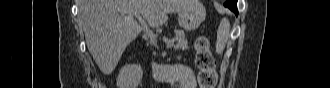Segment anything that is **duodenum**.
<instances>
[{
	"label": "duodenum",
	"mask_w": 330,
	"mask_h": 88,
	"mask_svg": "<svg viewBox=\"0 0 330 88\" xmlns=\"http://www.w3.org/2000/svg\"><path fill=\"white\" fill-rule=\"evenodd\" d=\"M169 67L170 66L167 65H151L150 71L152 75L158 80L172 81L168 73Z\"/></svg>",
	"instance_id": "duodenum-1"
}]
</instances>
